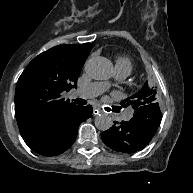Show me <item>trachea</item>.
Segmentation results:
<instances>
[{"instance_id": "obj_1", "label": "trachea", "mask_w": 193, "mask_h": 193, "mask_svg": "<svg viewBox=\"0 0 193 193\" xmlns=\"http://www.w3.org/2000/svg\"><path fill=\"white\" fill-rule=\"evenodd\" d=\"M78 105H85L87 104V101L85 99L77 98L73 100Z\"/></svg>"}]
</instances>
